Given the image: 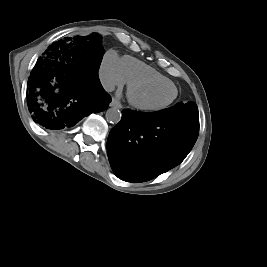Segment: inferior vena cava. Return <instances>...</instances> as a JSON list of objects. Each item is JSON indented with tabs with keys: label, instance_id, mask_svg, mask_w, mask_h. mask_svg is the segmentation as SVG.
I'll list each match as a JSON object with an SVG mask.
<instances>
[{
	"label": "inferior vena cava",
	"instance_id": "602c4592",
	"mask_svg": "<svg viewBox=\"0 0 267 267\" xmlns=\"http://www.w3.org/2000/svg\"><path fill=\"white\" fill-rule=\"evenodd\" d=\"M100 81L101 84L103 86V88L107 91V92H112L115 89V85L114 83L109 80L108 78L104 77L103 75L100 76Z\"/></svg>",
	"mask_w": 267,
	"mask_h": 267
}]
</instances>
